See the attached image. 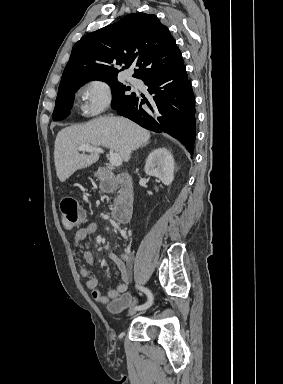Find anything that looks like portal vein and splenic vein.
I'll list each match as a JSON object with an SVG mask.
<instances>
[{"label": "portal vein and splenic vein", "mask_w": 283, "mask_h": 384, "mask_svg": "<svg viewBox=\"0 0 283 384\" xmlns=\"http://www.w3.org/2000/svg\"><path fill=\"white\" fill-rule=\"evenodd\" d=\"M78 150H80V152H98V154H103L102 148H93L91 144H82ZM110 164H112V166H121V156H119V154H111Z\"/></svg>", "instance_id": "obj_1"}]
</instances>
